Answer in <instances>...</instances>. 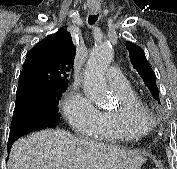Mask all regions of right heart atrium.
Instances as JSON below:
<instances>
[{
	"instance_id": "right-heart-atrium-1",
	"label": "right heart atrium",
	"mask_w": 177,
	"mask_h": 169,
	"mask_svg": "<svg viewBox=\"0 0 177 169\" xmlns=\"http://www.w3.org/2000/svg\"><path fill=\"white\" fill-rule=\"evenodd\" d=\"M64 115L75 130L81 135H90L97 128L100 110L83 93L70 90L63 102Z\"/></svg>"
}]
</instances>
